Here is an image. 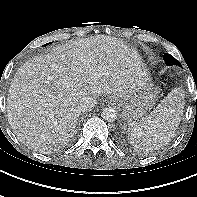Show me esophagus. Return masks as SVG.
I'll return each mask as SVG.
<instances>
[{
    "label": "esophagus",
    "instance_id": "obj_1",
    "mask_svg": "<svg viewBox=\"0 0 197 197\" xmlns=\"http://www.w3.org/2000/svg\"><path fill=\"white\" fill-rule=\"evenodd\" d=\"M109 101L114 103L116 101V98L115 97H110Z\"/></svg>",
    "mask_w": 197,
    "mask_h": 197
}]
</instances>
